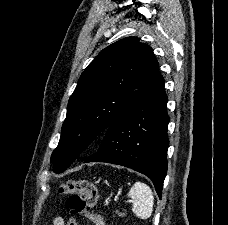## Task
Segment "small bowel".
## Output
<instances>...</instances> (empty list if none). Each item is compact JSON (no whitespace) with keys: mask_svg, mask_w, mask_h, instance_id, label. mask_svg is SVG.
I'll list each match as a JSON object with an SVG mask.
<instances>
[{"mask_svg":"<svg viewBox=\"0 0 228 225\" xmlns=\"http://www.w3.org/2000/svg\"><path fill=\"white\" fill-rule=\"evenodd\" d=\"M70 222H73V225H78L75 219H71L68 223H65L64 219L60 216L53 218L52 225H70Z\"/></svg>","mask_w":228,"mask_h":225,"instance_id":"1","label":"small bowel"}]
</instances>
